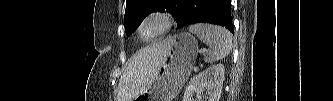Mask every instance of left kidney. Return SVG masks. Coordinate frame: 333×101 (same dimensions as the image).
Here are the masks:
<instances>
[{"label":"left kidney","instance_id":"5707ae66","mask_svg":"<svg viewBox=\"0 0 333 101\" xmlns=\"http://www.w3.org/2000/svg\"><path fill=\"white\" fill-rule=\"evenodd\" d=\"M224 71L223 64H216L193 77L185 91L183 101H194L195 93L198 101H203L202 93L204 91L208 94V101H219L224 81Z\"/></svg>","mask_w":333,"mask_h":101}]
</instances>
